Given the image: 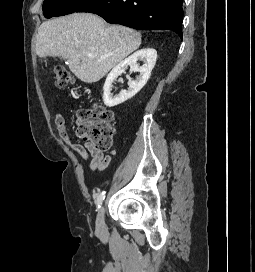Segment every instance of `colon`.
Instances as JSON below:
<instances>
[{"instance_id":"obj_1","label":"colon","mask_w":255,"mask_h":272,"mask_svg":"<svg viewBox=\"0 0 255 272\" xmlns=\"http://www.w3.org/2000/svg\"><path fill=\"white\" fill-rule=\"evenodd\" d=\"M58 89H66L74 83L73 75L65 68L53 70ZM115 133V118L110 109L95 105L77 113V137L98 151H108L112 146Z\"/></svg>"}]
</instances>
